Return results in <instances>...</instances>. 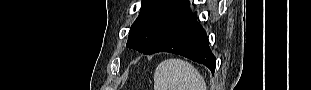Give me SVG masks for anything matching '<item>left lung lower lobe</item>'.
<instances>
[{
	"label": "left lung lower lobe",
	"mask_w": 311,
	"mask_h": 90,
	"mask_svg": "<svg viewBox=\"0 0 311 90\" xmlns=\"http://www.w3.org/2000/svg\"><path fill=\"white\" fill-rule=\"evenodd\" d=\"M196 19V13L185 16L154 46L149 55L157 52L179 54L204 64L214 73L216 58L209 48L205 31L195 22Z\"/></svg>",
	"instance_id": "1"
}]
</instances>
